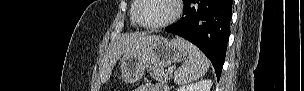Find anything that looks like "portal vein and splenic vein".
I'll return each mask as SVG.
<instances>
[{
	"label": "portal vein and splenic vein",
	"mask_w": 304,
	"mask_h": 91,
	"mask_svg": "<svg viewBox=\"0 0 304 91\" xmlns=\"http://www.w3.org/2000/svg\"><path fill=\"white\" fill-rule=\"evenodd\" d=\"M168 71H169L170 73H172V72H173V68H169Z\"/></svg>",
	"instance_id": "obj_1"
}]
</instances>
